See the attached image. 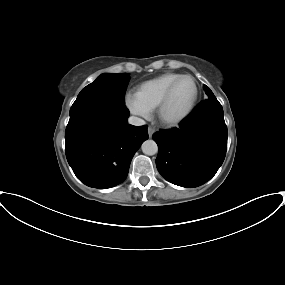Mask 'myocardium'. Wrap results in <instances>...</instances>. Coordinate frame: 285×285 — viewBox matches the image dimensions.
<instances>
[{
    "label": "myocardium",
    "mask_w": 285,
    "mask_h": 285,
    "mask_svg": "<svg viewBox=\"0 0 285 285\" xmlns=\"http://www.w3.org/2000/svg\"><path fill=\"white\" fill-rule=\"evenodd\" d=\"M184 78H189L192 80L194 87H195L194 98L190 106L188 107V109L184 113H182L180 116L175 117V118L166 117L165 109L173 93V90L175 89L176 85ZM198 99H199V86H198L196 79L192 75H189V74L180 75L168 86V88L166 89L165 93L163 94L161 100L159 101L156 107L157 118H158L159 123L165 127H175V126L180 125L194 112L197 106V103H198Z\"/></svg>",
    "instance_id": "obj_1"
}]
</instances>
